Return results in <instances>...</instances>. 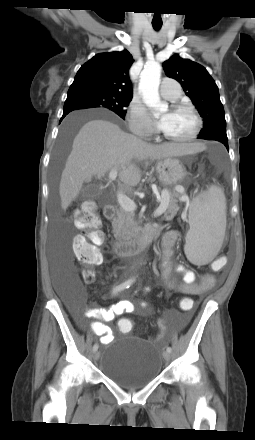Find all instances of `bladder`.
I'll list each match as a JSON object with an SVG mask.
<instances>
[{
	"mask_svg": "<svg viewBox=\"0 0 255 440\" xmlns=\"http://www.w3.org/2000/svg\"><path fill=\"white\" fill-rule=\"evenodd\" d=\"M161 369L162 354L151 342L123 337L106 344L101 372L124 390L144 388L159 376Z\"/></svg>",
	"mask_w": 255,
	"mask_h": 440,
	"instance_id": "1",
	"label": "bladder"
}]
</instances>
